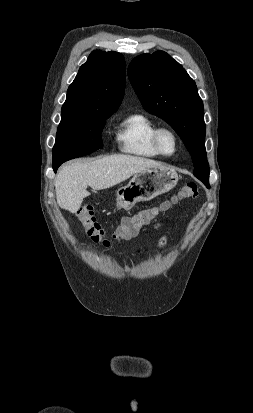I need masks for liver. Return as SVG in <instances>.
Returning a JSON list of instances; mask_svg holds the SVG:
<instances>
[{
	"mask_svg": "<svg viewBox=\"0 0 253 413\" xmlns=\"http://www.w3.org/2000/svg\"><path fill=\"white\" fill-rule=\"evenodd\" d=\"M164 167L154 160L130 156L111 155L87 162L76 161L65 165L58 173L54 184L60 208L75 213L85 197L94 190L115 186L132 175L151 168Z\"/></svg>",
	"mask_w": 253,
	"mask_h": 413,
	"instance_id": "1",
	"label": "liver"
}]
</instances>
